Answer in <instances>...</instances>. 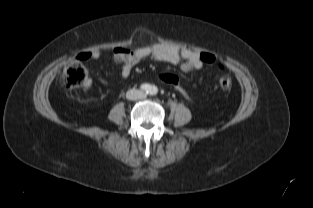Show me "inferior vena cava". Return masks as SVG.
<instances>
[{"label": "inferior vena cava", "instance_id": "1", "mask_svg": "<svg viewBox=\"0 0 313 208\" xmlns=\"http://www.w3.org/2000/svg\"><path fill=\"white\" fill-rule=\"evenodd\" d=\"M131 92H139V91H135V90L129 91V92L127 93V98H128V99H138V98L144 97V95H141V96L133 95V94H131Z\"/></svg>", "mask_w": 313, "mask_h": 208}]
</instances>
